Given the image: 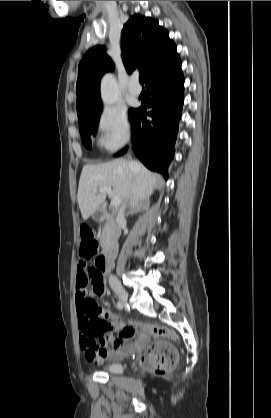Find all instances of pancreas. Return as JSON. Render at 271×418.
Returning <instances> with one entry per match:
<instances>
[{"label":"pancreas","instance_id":"cf45deb5","mask_svg":"<svg viewBox=\"0 0 271 418\" xmlns=\"http://www.w3.org/2000/svg\"><path fill=\"white\" fill-rule=\"evenodd\" d=\"M111 230L109 227H105L102 231L101 235V244L104 243V241L110 236Z\"/></svg>","mask_w":271,"mask_h":418}]
</instances>
